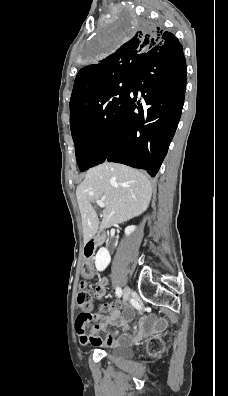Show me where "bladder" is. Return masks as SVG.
<instances>
[{"label":"bladder","instance_id":"31cf9c89","mask_svg":"<svg viewBox=\"0 0 228 396\" xmlns=\"http://www.w3.org/2000/svg\"><path fill=\"white\" fill-rule=\"evenodd\" d=\"M108 353L118 359H131L134 356L133 349L128 346H117L108 351Z\"/></svg>","mask_w":228,"mask_h":396}]
</instances>
